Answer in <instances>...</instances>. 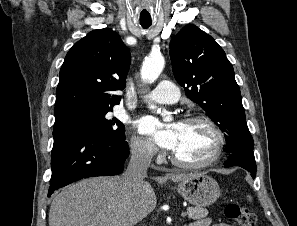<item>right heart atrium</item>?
I'll return each mask as SVG.
<instances>
[{"label": "right heart atrium", "mask_w": 297, "mask_h": 226, "mask_svg": "<svg viewBox=\"0 0 297 226\" xmlns=\"http://www.w3.org/2000/svg\"><path fill=\"white\" fill-rule=\"evenodd\" d=\"M130 150L136 160L144 163L150 162L156 153L149 141L135 135L131 137Z\"/></svg>", "instance_id": "obj_1"}]
</instances>
